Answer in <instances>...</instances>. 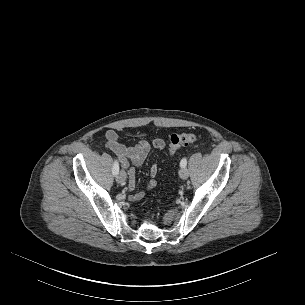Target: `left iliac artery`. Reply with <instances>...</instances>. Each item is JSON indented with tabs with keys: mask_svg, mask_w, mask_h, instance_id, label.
<instances>
[{
	"mask_svg": "<svg viewBox=\"0 0 305 305\" xmlns=\"http://www.w3.org/2000/svg\"><path fill=\"white\" fill-rule=\"evenodd\" d=\"M186 165H187V159H186V158H183V159L181 160V162H180V166H181V167H186Z\"/></svg>",
	"mask_w": 305,
	"mask_h": 305,
	"instance_id": "44dca946",
	"label": "left iliac artery"
}]
</instances>
